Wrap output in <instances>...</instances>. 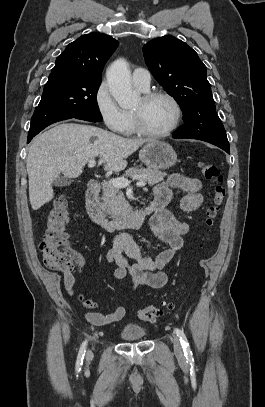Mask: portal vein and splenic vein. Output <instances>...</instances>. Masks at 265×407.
Returning a JSON list of instances; mask_svg holds the SVG:
<instances>
[{"mask_svg": "<svg viewBox=\"0 0 265 407\" xmlns=\"http://www.w3.org/2000/svg\"><path fill=\"white\" fill-rule=\"evenodd\" d=\"M95 164H96V161L94 159H92L88 162V167L92 168L95 166ZM109 183H111L114 187H118V188H125V187L129 186V184H130V182L126 178L110 179ZM136 185L138 187H144L146 185V183L144 181L140 180L139 182L136 183Z\"/></svg>", "mask_w": 265, "mask_h": 407, "instance_id": "1", "label": "portal vein and splenic vein"}]
</instances>
